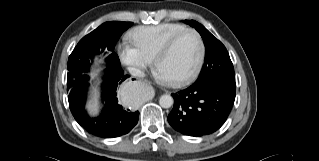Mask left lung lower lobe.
<instances>
[{"label": "left lung lower lobe", "instance_id": "1", "mask_svg": "<svg viewBox=\"0 0 319 161\" xmlns=\"http://www.w3.org/2000/svg\"><path fill=\"white\" fill-rule=\"evenodd\" d=\"M235 87L220 82L193 83L172 94L174 106L169 124L184 135L199 137L218 130L226 121L235 100Z\"/></svg>", "mask_w": 319, "mask_h": 161}]
</instances>
